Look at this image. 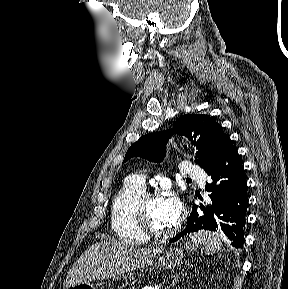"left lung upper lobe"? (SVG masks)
<instances>
[{"instance_id": "5c2ea615", "label": "left lung upper lobe", "mask_w": 288, "mask_h": 289, "mask_svg": "<svg viewBox=\"0 0 288 289\" xmlns=\"http://www.w3.org/2000/svg\"><path fill=\"white\" fill-rule=\"evenodd\" d=\"M174 133L186 136L196 146L195 163L204 170L216 160L229 139L222 127L210 116L184 115L175 121L173 129L147 134L132 144L127 150L124 162L134 156L161 162L166 152L165 144Z\"/></svg>"}]
</instances>
